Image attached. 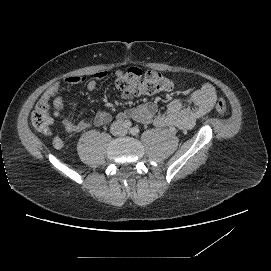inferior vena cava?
I'll return each instance as SVG.
<instances>
[{"label":"inferior vena cava","instance_id":"obj_1","mask_svg":"<svg viewBox=\"0 0 271 271\" xmlns=\"http://www.w3.org/2000/svg\"><path fill=\"white\" fill-rule=\"evenodd\" d=\"M111 132L114 136L116 137H121L125 134L126 132V127L123 123L121 122H116L112 125L111 127Z\"/></svg>","mask_w":271,"mask_h":271}]
</instances>
